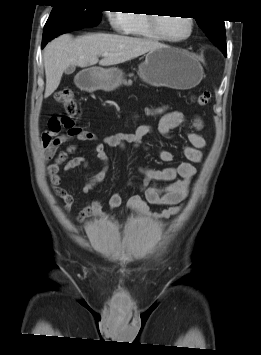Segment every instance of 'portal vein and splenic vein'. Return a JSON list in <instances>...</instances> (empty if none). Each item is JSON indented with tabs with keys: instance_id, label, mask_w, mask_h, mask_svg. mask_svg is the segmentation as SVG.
<instances>
[{
	"instance_id": "18ae733b",
	"label": "portal vein and splenic vein",
	"mask_w": 261,
	"mask_h": 355,
	"mask_svg": "<svg viewBox=\"0 0 261 355\" xmlns=\"http://www.w3.org/2000/svg\"><path fill=\"white\" fill-rule=\"evenodd\" d=\"M102 56H103V57H107V56H109V53H107V52H106V53H103Z\"/></svg>"
}]
</instances>
